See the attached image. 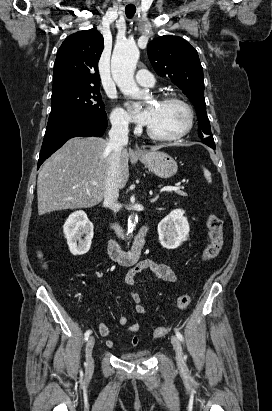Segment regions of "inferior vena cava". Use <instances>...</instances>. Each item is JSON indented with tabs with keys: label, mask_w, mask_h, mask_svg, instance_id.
Wrapping results in <instances>:
<instances>
[{
	"label": "inferior vena cava",
	"mask_w": 272,
	"mask_h": 411,
	"mask_svg": "<svg viewBox=\"0 0 272 411\" xmlns=\"http://www.w3.org/2000/svg\"><path fill=\"white\" fill-rule=\"evenodd\" d=\"M112 128L109 131L108 149L110 151L109 166L106 174L104 188V204L114 213H117L121 206L118 203L119 187L118 172L120 166L121 151L128 144V122L121 117L110 119Z\"/></svg>",
	"instance_id": "inferior-vena-cava-1"
}]
</instances>
